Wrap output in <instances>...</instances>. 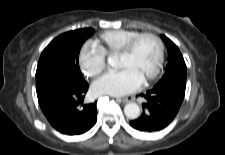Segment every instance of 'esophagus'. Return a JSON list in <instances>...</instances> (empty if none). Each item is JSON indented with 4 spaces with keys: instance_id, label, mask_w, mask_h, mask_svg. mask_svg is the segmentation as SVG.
I'll use <instances>...</instances> for the list:
<instances>
[{
    "instance_id": "obj_1",
    "label": "esophagus",
    "mask_w": 225,
    "mask_h": 155,
    "mask_svg": "<svg viewBox=\"0 0 225 155\" xmlns=\"http://www.w3.org/2000/svg\"><path fill=\"white\" fill-rule=\"evenodd\" d=\"M133 100V97L117 98V101L127 103Z\"/></svg>"
}]
</instances>
